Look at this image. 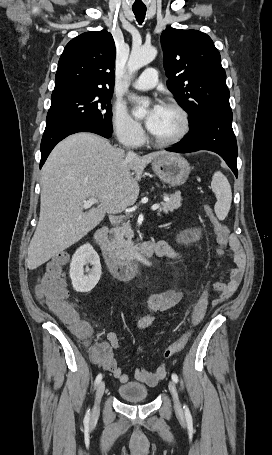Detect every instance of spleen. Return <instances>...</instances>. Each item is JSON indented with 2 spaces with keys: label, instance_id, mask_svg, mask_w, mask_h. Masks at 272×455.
Segmentation results:
<instances>
[{
  "label": "spleen",
  "instance_id": "1",
  "mask_svg": "<svg viewBox=\"0 0 272 455\" xmlns=\"http://www.w3.org/2000/svg\"><path fill=\"white\" fill-rule=\"evenodd\" d=\"M211 187L217 199L214 206L215 214L219 220H224L232 202L231 186L223 173L217 171L212 177Z\"/></svg>",
  "mask_w": 272,
  "mask_h": 455
}]
</instances>
